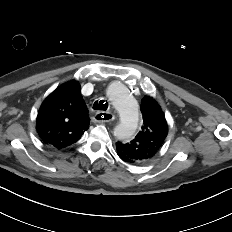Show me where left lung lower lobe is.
Returning <instances> with one entry per match:
<instances>
[{"instance_id":"left-lung-lower-lobe-1","label":"left lung lower lobe","mask_w":232,"mask_h":232,"mask_svg":"<svg viewBox=\"0 0 232 232\" xmlns=\"http://www.w3.org/2000/svg\"><path fill=\"white\" fill-rule=\"evenodd\" d=\"M117 154H118V156H119L123 161H125V162H127V163H130V162H129V159L126 158L125 156H123L121 153L117 152Z\"/></svg>"}]
</instances>
